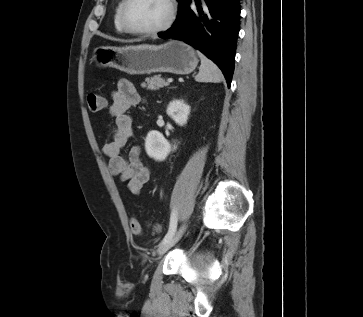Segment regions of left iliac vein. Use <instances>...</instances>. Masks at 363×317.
<instances>
[{"mask_svg":"<svg viewBox=\"0 0 363 317\" xmlns=\"http://www.w3.org/2000/svg\"><path fill=\"white\" fill-rule=\"evenodd\" d=\"M186 230V225H182L179 230L176 232V234L168 241L161 243L158 247V254L163 255L166 253L171 247H173L183 236L184 232Z\"/></svg>","mask_w":363,"mask_h":317,"instance_id":"obj_1","label":"left iliac vein"}]
</instances>
